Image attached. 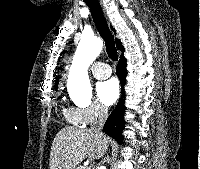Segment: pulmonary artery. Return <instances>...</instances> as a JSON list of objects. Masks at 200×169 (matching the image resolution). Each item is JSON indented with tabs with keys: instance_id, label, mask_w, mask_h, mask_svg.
Returning a JSON list of instances; mask_svg holds the SVG:
<instances>
[{
	"instance_id": "1",
	"label": "pulmonary artery",
	"mask_w": 200,
	"mask_h": 169,
	"mask_svg": "<svg viewBox=\"0 0 200 169\" xmlns=\"http://www.w3.org/2000/svg\"><path fill=\"white\" fill-rule=\"evenodd\" d=\"M93 76L97 79H105L111 75V69L105 62H95L91 67Z\"/></svg>"
}]
</instances>
